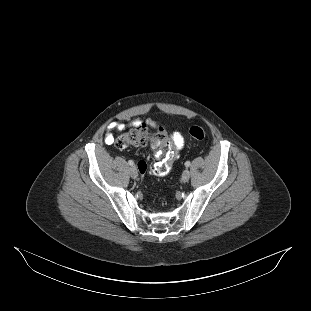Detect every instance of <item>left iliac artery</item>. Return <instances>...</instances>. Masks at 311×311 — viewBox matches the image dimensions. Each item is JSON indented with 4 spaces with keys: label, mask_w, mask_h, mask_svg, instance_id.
Segmentation results:
<instances>
[{
    "label": "left iliac artery",
    "mask_w": 311,
    "mask_h": 311,
    "mask_svg": "<svg viewBox=\"0 0 311 311\" xmlns=\"http://www.w3.org/2000/svg\"><path fill=\"white\" fill-rule=\"evenodd\" d=\"M185 166H186V167H189V166H190V162H189V161H186V162H185Z\"/></svg>",
    "instance_id": "obj_1"
}]
</instances>
